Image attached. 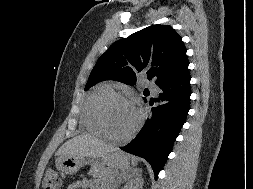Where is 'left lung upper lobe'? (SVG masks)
I'll return each mask as SVG.
<instances>
[{
  "mask_svg": "<svg viewBox=\"0 0 253 189\" xmlns=\"http://www.w3.org/2000/svg\"><path fill=\"white\" fill-rule=\"evenodd\" d=\"M187 59L181 37L169 25H152L120 39L98 59L85 90L104 80L128 85L145 72L159 86L170 79ZM146 102V98H144Z\"/></svg>",
  "mask_w": 253,
  "mask_h": 189,
  "instance_id": "5c2ea615",
  "label": "left lung upper lobe"
}]
</instances>
